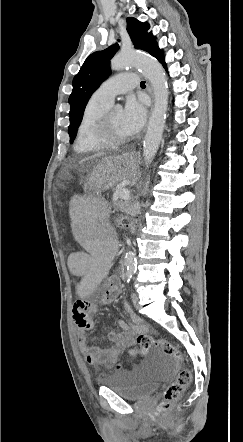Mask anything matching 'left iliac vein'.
<instances>
[{
    "instance_id": "4c4485c4",
    "label": "left iliac vein",
    "mask_w": 243,
    "mask_h": 442,
    "mask_svg": "<svg viewBox=\"0 0 243 442\" xmlns=\"http://www.w3.org/2000/svg\"><path fill=\"white\" fill-rule=\"evenodd\" d=\"M132 303L135 307H138V296L136 293L131 294Z\"/></svg>"
}]
</instances>
